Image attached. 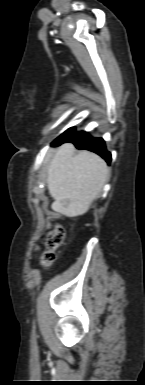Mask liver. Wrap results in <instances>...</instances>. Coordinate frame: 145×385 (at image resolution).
<instances>
[{"instance_id": "6515ba94", "label": "liver", "mask_w": 145, "mask_h": 385, "mask_svg": "<svg viewBox=\"0 0 145 385\" xmlns=\"http://www.w3.org/2000/svg\"><path fill=\"white\" fill-rule=\"evenodd\" d=\"M45 162L47 187L55 200L52 209L67 217L86 213L108 179L106 162L90 151L76 153L71 143L50 149Z\"/></svg>"}]
</instances>
